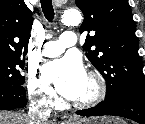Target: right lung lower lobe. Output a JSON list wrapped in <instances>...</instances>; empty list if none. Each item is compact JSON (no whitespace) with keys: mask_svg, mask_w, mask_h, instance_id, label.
Here are the masks:
<instances>
[{"mask_svg":"<svg viewBox=\"0 0 145 124\" xmlns=\"http://www.w3.org/2000/svg\"><path fill=\"white\" fill-rule=\"evenodd\" d=\"M26 106V93L22 85H0V110H13Z\"/></svg>","mask_w":145,"mask_h":124,"instance_id":"right-lung-lower-lobe-1","label":"right lung lower lobe"}]
</instances>
